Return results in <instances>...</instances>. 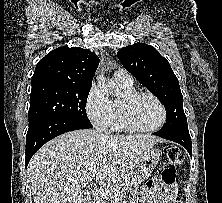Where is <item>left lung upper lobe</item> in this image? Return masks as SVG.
I'll use <instances>...</instances> for the list:
<instances>
[{"mask_svg": "<svg viewBox=\"0 0 222 203\" xmlns=\"http://www.w3.org/2000/svg\"><path fill=\"white\" fill-rule=\"evenodd\" d=\"M117 55L124 68L163 103L167 120L161 130L188 131L179 81L169 62L144 43L126 46Z\"/></svg>", "mask_w": 222, "mask_h": 203, "instance_id": "5c2ea615", "label": "left lung upper lobe"}]
</instances>
